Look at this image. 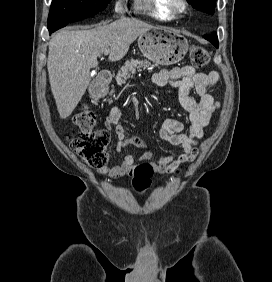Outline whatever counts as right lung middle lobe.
Listing matches in <instances>:
<instances>
[{
    "mask_svg": "<svg viewBox=\"0 0 272 282\" xmlns=\"http://www.w3.org/2000/svg\"><path fill=\"white\" fill-rule=\"evenodd\" d=\"M111 0H53L48 16V24L72 18L80 14L98 13L106 8Z\"/></svg>",
    "mask_w": 272,
    "mask_h": 282,
    "instance_id": "right-lung-middle-lobe-1",
    "label": "right lung middle lobe"
}]
</instances>
